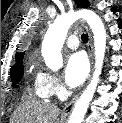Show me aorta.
<instances>
[{
  "label": "aorta",
  "mask_w": 122,
  "mask_h": 123,
  "mask_svg": "<svg viewBox=\"0 0 122 123\" xmlns=\"http://www.w3.org/2000/svg\"><path fill=\"white\" fill-rule=\"evenodd\" d=\"M79 18L86 20L93 32L95 70L89 85L75 104L73 112L69 118V123H82L99 83L106 52L107 34L104 24L99 16L91 10L83 9L75 13H67L58 17L49 27L42 44V56L46 66L53 71L59 70L63 65L61 49L68 29Z\"/></svg>",
  "instance_id": "762f6f07"
}]
</instances>
